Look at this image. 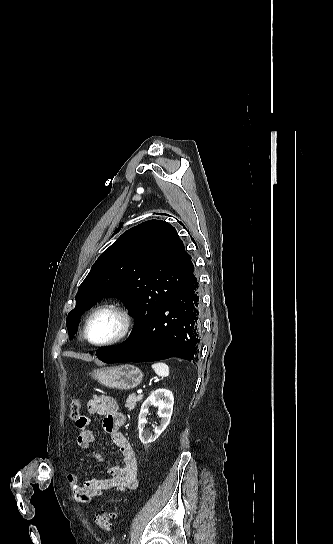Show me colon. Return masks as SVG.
Here are the masks:
<instances>
[{
  "label": "colon",
  "mask_w": 333,
  "mask_h": 544,
  "mask_svg": "<svg viewBox=\"0 0 333 544\" xmlns=\"http://www.w3.org/2000/svg\"><path fill=\"white\" fill-rule=\"evenodd\" d=\"M81 400L79 398L74 399L71 402L70 410H69V418L72 421H77L80 417V411H81ZM114 517V513L109 510L105 509L95 516V523L98 526V528L103 532H108L111 527V520Z\"/></svg>",
  "instance_id": "5ec220e1"
}]
</instances>
